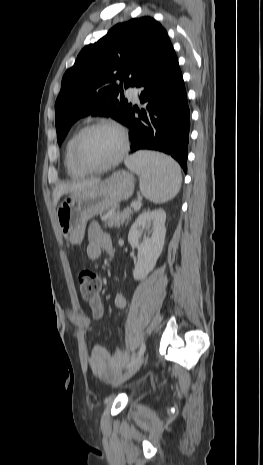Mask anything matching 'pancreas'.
<instances>
[{
  "mask_svg": "<svg viewBox=\"0 0 263 465\" xmlns=\"http://www.w3.org/2000/svg\"><path fill=\"white\" fill-rule=\"evenodd\" d=\"M131 214H133V210L125 209L124 211L114 213L108 218L102 217V220L105 222V227L120 228L126 221H129Z\"/></svg>",
  "mask_w": 263,
  "mask_h": 465,
  "instance_id": "obj_1",
  "label": "pancreas"
}]
</instances>
